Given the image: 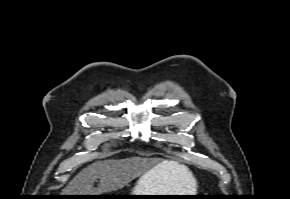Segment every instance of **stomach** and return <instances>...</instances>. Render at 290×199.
Wrapping results in <instances>:
<instances>
[{
  "label": "stomach",
  "instance_id": "obj_1",
  "mask_svg": "<svg viewBox=\"0 0 290 199\" xmlns=\"http://www.w3.org/2000/svg\"><path fill=\"white\" fill-rule=\"evenodd\" d=\"M167 188L165 182L160 179L158 167L152 168L146 174L142 175L130 195H174ZM134 199H142L143 196H133ZM179 199V197H172ZM153 199H162L159 197Z\"/></svg>",
  "mask_w": 290,
  "mask_h": 199
}]
</instances>
